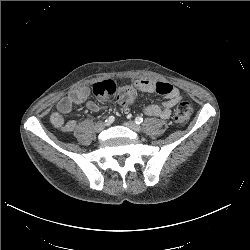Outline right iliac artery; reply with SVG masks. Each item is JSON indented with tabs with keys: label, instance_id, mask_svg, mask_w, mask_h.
Returning <instances> with one entry per match:
<instances>
[{
	"label": "right iliac artery",
	"instance_id": "obj_1",
	"mask_svg": "<svg viewBox=\"0 0 250 250\" xmlns=\"http://www.w3.org/2000/svg\"><path fill=\"white\" fill-rule=\"evenodd\" d=\"M113 121H114V116H110V117H108V118L105 120V122L107 123V125H110L111 123H113Z\"/></svg>",
	"mask_w": 250,
	"mask_h": 250
}]
</instances>
